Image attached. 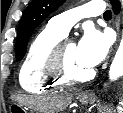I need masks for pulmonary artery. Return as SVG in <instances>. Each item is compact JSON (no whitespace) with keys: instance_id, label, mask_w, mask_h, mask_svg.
Returning <instances> with one entry per match:
<instances>
[{"instance_id":"pulmonary-artery-1","label":"pulmonary artery","mask_w":123,"mask_h":113,"mask_svg":"<svg viewBox=\"0 0 123 113\" xmlns=\"http://www.w3.org/2000/svg\"><path fill=\"white\" fill-rule=\"evenodd\" d=\"M104 7L105 3L103 1H91L51 18L48 26L63 35H67L70 28L77 21L103 13Z\"/></svg>"}]
</instances>
